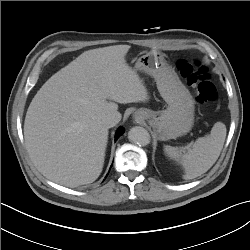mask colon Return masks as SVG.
I'll use <instances>...</instances> for the list:
<instances>
[{"label":"colon","instance_id":"1","mask_svg":"<svg viewBox=\"0 0 250 250\" xmlns=\"http://www.w3.org/2000/svg\"><path fill=\"white\" fill-rule=\"evenodd\" d=\"M178 69L188 85L194 90L196 100L199 103L207 104L216 101V87L211 82L206 67L201 66L198 62L182 60L178 63Z\"/></svg>","mask_w":250,"mask_h":250}]
</instances>
